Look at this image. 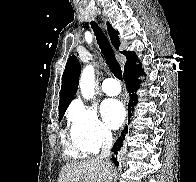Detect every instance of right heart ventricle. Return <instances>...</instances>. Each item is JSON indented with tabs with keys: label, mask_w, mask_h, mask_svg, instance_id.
I'll return each instance as SVG.
<instances>
[{
	"label": "right heart ventricle",
	"mask_w": 196,
	"mask_h": 182,
	"mask_svg": "<svg viewBox=\"0 0 196 182\" xmlns=\"http://www.w3.org/2000/svg\"><path fill=\"white\" fill-rule=\"evenodd\" d=\"M68 153L73 158H80L83 155H85L74 143L72 136H70L69 142H68Z\"/></svg>",
	"instance_id": "e07e8e85"
}]
</instances>
